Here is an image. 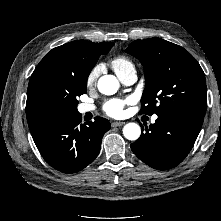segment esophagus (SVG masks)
Segmentation results:
<instances>
[{
	"label": "esophagus",
	"instance_id": "obj_1",
	"mask_svg": "<svg viewBox=\"0 0 221 221\" xmlns=\"http://www.w3.org/2000/svg\"><path fill=\"white\" fill-rule=\"evenodd\" d=\"M124 124H125V122L115 121V122H112V123H111V126H112V127H120V126H123Z\"/></svg>",
	"mask_w": 221,
	"mask_h": 221
}]
</instances>
